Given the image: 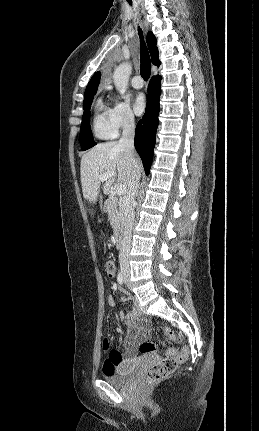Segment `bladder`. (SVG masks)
<instances>
[{"mask_svg":"<svg viewBox=\"0 0 259 431\" xmlns=\"http://www.w3.org/2000/svg\"><path fill=\"white\" fill-rule=\"evenodd\" d=\"M137 362H127L121 364L111 372H104L103 379L114 386L124 385L138 370Z\"/></svg>","mask_w":259,"mask_h":431,"instance_id":"obj_1","label":"bladder"}]
</instances>
